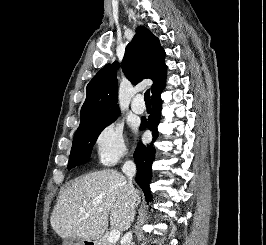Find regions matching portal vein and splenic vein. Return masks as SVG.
<instances>
[{
  "instance_id": "obj_1",
  "label": "portal vein and splenic vein",
  "mask_w": 266,
  "mask_h": 245,
  "mask_svg": "<svg viewBox=\"0 0 266 245\" xmlns=\"http://www.w3.org/2000/svg\"><path fill=\"white\" fill-rule=\"evenodd\" d=\"M97 211H102V209H97ZM81 213H85V209H82ZM118 239H120V231L113 229V231H111L107 237V243H116Z\"/></svg>"
}]
</instances>
